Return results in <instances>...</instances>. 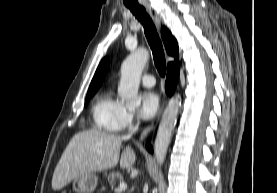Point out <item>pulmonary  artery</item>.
<instances>
[{"label":"pulmonary artery","mask_w":277,"mask_h":193,"mask_svg":"<svg viewBox=\"0 0 277 193\" xmlns=\"http://www.w3.org/2000/svg\"><path fill=\"white\" fill-rule=\"evenodd\" d=\"M142 84L145 87H153L155 85V78L153 75L145 74L142 76Z\"/></svg>","instance_id":"e3ab8cb5"}]
</instances>
